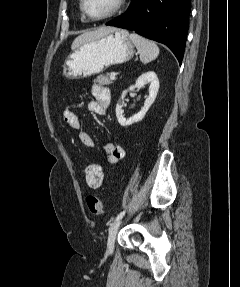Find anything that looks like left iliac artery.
<instances>
[{
    "instance_id": "1",
    "label": "left iliac artery",
    "mask_w": 240,
    "mask_h": 287,
    "mask_svg": "<svg viewBox=\"0 0 240 287\" xmlns=\"http://www.w3.org/2000/svg\"><path fill=\"white\" fill-rule=\"evenodd\" d=\"M124 214H125V210L118 214V216L116 217L115 221L120 220L124 216Z\"/></svg>"
}]
</instances>
